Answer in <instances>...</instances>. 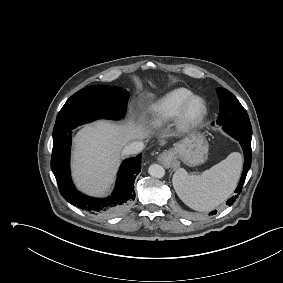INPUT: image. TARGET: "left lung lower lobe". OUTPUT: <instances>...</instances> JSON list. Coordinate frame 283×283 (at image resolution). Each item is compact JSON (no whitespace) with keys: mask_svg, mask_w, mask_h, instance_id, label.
<instances>
[{"mask_svg":"<svg viewBox=\"0 0 283 283\" xmlns=\"http://www.w3.org/2000/svg\"><path fill=\"white\" fill-rule=\"evenodd\" d=\"M238 141H239V143H240V145L243 149V152H244V166H243V171H242V174H241L239 184H238V186L235 190L236 195L234 197L230 198L227 201V205H229V206L233 204V202L236 200V198L238 197V195L242 191V185H243V182H245L247 173H248L250 166H251V159H252L251 137L240 138ZM216 212H217L216 210L212 211L211 214L212 215L216 214Z\"/></svg>","mask_w":283,"mask_h":283,"instance_id":"left-lung-lower-lobe-1","label":"left lung lower lobe"}]
</instances>
